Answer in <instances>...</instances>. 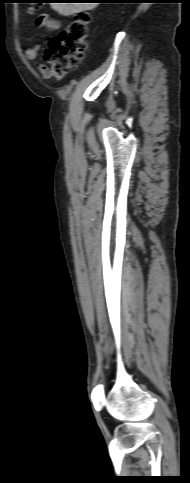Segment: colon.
Wrapping results in <instances>:
<instances>
[{"label":"colon","mask_w":190,"mask_h":483,"mask_svg":"<svg viewBox=\"0 0 190 483\" xmlns=\"http://www.w3.org/2000/svg\"><path fill=\"white\" fill-rule=\"evenodd\" d=\"M88 23L89 15L80 12L49 42L44 54L45 72L48 76L61 79L72 68L81 64L87 49Z\"/></svg>","instance_id":"1"}]
</instances>
